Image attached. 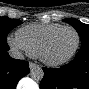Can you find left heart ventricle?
<instances>
[{
	"instance_id": "left-heart-ventricle-1",
	"label": "left heart ventricle",
	"mask_w": 89,
	"mask_h": 89,
	"mask_svg": "<svg viewBox=\"0 0 89 89\" xmlns=\"http://www.w3.org/2000/svg\"><path fill=\"white\" fill-rule=\"evenodd\" d=\"M75 43V33L69 29L63 30L49 44L46 50V56L53 60L62 59L70 54Z\"/></svg>"
}]
</instances>
